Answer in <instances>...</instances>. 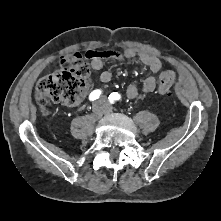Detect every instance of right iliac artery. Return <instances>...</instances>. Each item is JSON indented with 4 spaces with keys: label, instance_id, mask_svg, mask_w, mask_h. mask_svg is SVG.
Returning a JSON list of instances; mask_svg holds the SVG:
<instances>
[{
    "label": "right iliac artery",
    "instance_id": "1",
    "mask_svg": "<svg viewBox=\"0 0 221 221\" xmlns=\"http://www.w3.org/2000/svg\"><path fill=\"white\" fill-rule=\"evenodd\" d=\"M100 95H101V90H98V89L94 90L89 95V100L94 101V100L98 99Z\"/></svg>",
    "mask_w": 221,
    "mask_h": 221
}]
</instances>
